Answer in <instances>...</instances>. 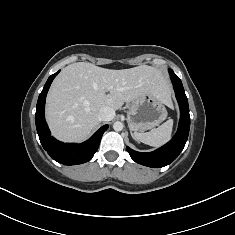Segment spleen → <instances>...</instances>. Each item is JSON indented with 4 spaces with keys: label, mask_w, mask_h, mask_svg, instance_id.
<instances>
[{
    "label": "spleen",
    "mask_w": 235,
    "mask_h": 235,
    "mask_svg": "<svg viewBox=\"0 0 235 235\" xmlns=\"http://www.w3.org/2000/svg\"><path fill=\"white\" fill-rule=\"evenodd\" d=\"M172 128L173 120L169 119L156 129H153L146 133L134 134V138L135 140L140 141L144 144L158 147L170 140Z\"/></svg>",
    "instance_id": "3e777b00"
}]
</instances>
